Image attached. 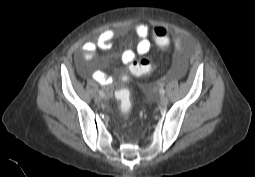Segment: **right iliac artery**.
I'll use <instances>...</instances> for the list:
<instances>
[{
	"instance_id": "82829eb1",
	"label": "right iliac artery",
	"mask_w": 255,
	"mask_h": 177,
	"mask_svg": "<svg viewBox=\"0 0 255 177\" xmlns=\"http://www.w3.org/2000/svg\"><path fill=\"white\" fill-rule=\"evenodd\" d=\"M99 95H100L101 97H105V93H104L102 90H99Z\"/></svg>"
}]
</instances>
